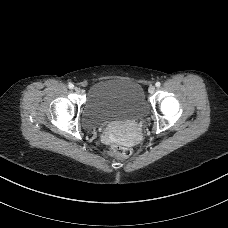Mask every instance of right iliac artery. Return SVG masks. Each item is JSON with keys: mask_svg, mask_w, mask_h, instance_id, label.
I'll use <instances>...</instances> for the list:
<instances>
[{"mask_svg": "<svg viewBox=\"0 0 228 228\" xmlns=\"http://www.w3.org/2000/svg\"><path fill=\"white\" fill-rule=\"evenodd\" d=\"M68 87H69L70 89H73V88H74V85H73L72 83H70V84L68 85Z\"/></svg>", "mask_w": 228, "mask_h": 228, "instance_id": "obj_1", "label": "right iliac artery"}]
</instances>
